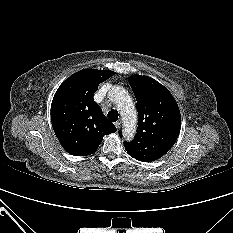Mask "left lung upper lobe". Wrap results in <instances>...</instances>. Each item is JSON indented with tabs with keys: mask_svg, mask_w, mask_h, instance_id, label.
I'll return each mask as SVG.
<instances>
[{
	"mask_svg": "<svg viewBox=\"0 0 233 233\" xmlns=\"http://www.w3.org/2000/svg\"><path fill=\"white\" fill-rule=\"evenodd\" d=\"M129 84L137 100L139 124L134 140L124 146L136 160L152 162L166 154L178 138L179 107L169 90L153 78L132 75Z\"/></svg>",
	"mask_w": 233,
	"mask_h": 233,
	"instance_id": "1",
	"label": "left lung upper lobe"
}]
</instances>
